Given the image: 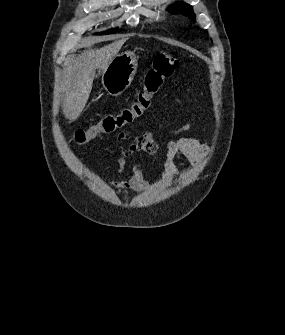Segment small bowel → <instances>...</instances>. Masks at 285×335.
<instances>
[{
  "label": "small bowel",
  "mask_w": 285,
  "mask_h": 335,
  "mask_svg": "<svg viewBox=\"0 0 285 335\" xmlns=\"http://www.w3.org/2000/svg\"><path fill=\"white\" fill-rule=\"evenodd\" d=\"M160 129L166 130L171 135L181 136L192 130L193 124L186 123L181 126H170L162 122L160 123ZM118 139L130 140V143L123 147L116 157L119 170L125 174V178L115 185L120 193L130 191L140 193L146 187L142 174V165L130 167L127 163V158L135 152L143 151L153 155V162L161 166L163 175L166 178H172L175 171V159L178 155L193 164H198L206 151L203 145L190 137H180L177 141L170 142L162 148L157 137L150 131H143L136 137L124 132L119 135Z\"/></svg>",
  "instance_id": "1"
}]
</instances>
